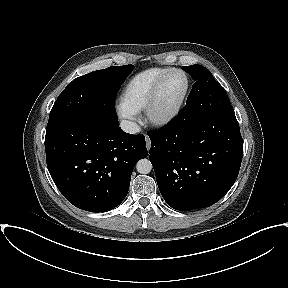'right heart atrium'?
<instances>
[{
    "mask_svg": "<svg viewBox=\"0 0 288 288\" xmlns=\"http://www.w3.org/2000/svg\"><path fill=\"white\" fill-rule=\"evenodd\" d=\"M117 112L121 118L124 119H133L135 117V113L131 111L123 101H121L117 106Z\"/></svg>",
    "mask_w": 288,
    "mask_h": 288,
    "instance_id": "right-heart-atrium-1",
    "label": "right heart atrium"
}]
</instances>
